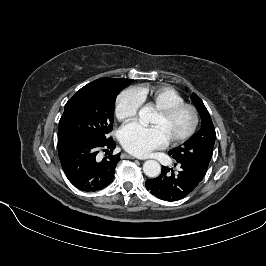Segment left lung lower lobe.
Returning a JSON list of instances; mask_svg holds the SVG:
<instances>
[{
	"instance_id": "0a47b994",
	"label": "left lung lower lobe",
	"mask_w": 266,
	"mask_h": 266,
	"mask_svg": "<svg viewBox=\"0 0 266 266\" xmlns=\"http://www.w3.org/2000/svg\"><path fill=\"white\" fill-rule=\"evenodd\" d=\"M180 165V171L175 174L168 172L170 169L162 167L160 176L155 179L146 180V188L157 198L165 201H176L190 194L203 178L196 175L185 165ZM176 166V164H175Z\"/></svg>"
}]
</instances>
